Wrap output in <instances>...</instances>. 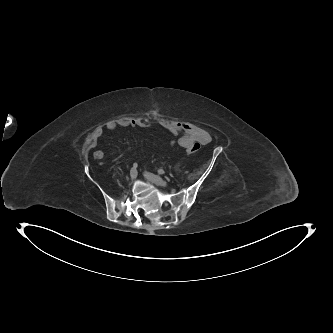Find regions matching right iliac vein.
I'll return each mask as SVG.
<instances>
[{
	"instance_id": "obj_1",
	"label": "right iliac vein",
	"mask_w": 333,
	"mask_h": 333,
	"mask_svg": "<svg viewBox=\"0 0 333 333\" xmlns=\"http://www.w3.org/2000/svg\"><path fill=\"white\" fill-rule=\"evenodd\" d=\"M136 177H137V171H136V169L132 168V169L130 170V178H131L132 180H135Z\"/></svg>"
}]
</instances>
